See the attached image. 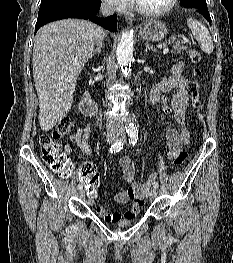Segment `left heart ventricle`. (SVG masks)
<instances>
[{"label": "left heart ventricle", "instance_id": "b2bd125f", "mask_svg": "<svg viewBox=\"0 0 233 263\" xmlns=\"http://www.w3.org/2000/svg\"><path fill=\"white\" fill-rule=\"evenodd\" d=\"M136 2L143 9L157 11L165 8L170 0H136Z\"/></svg>", "mask_w": 233, "mask_h": 263}]
</instances>
